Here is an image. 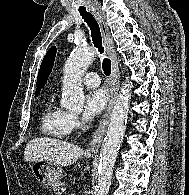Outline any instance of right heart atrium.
<instances>
[{
    "label": "right heart atrium",
    "mask_w": 189,
    "mask_h": 195,
    "mask_svg": "<svg viewBox=\"0 0 189 195\" xmlns=\"http://www.w3.org/2000/svg\"><path fill=\"white\" fill-rule=\"evenodd\" d=\"M80 125L79 117L76 114L70 113L68 117V129L69 131L78 128Z\"/></svg>",
    "instance_id": "d8ad5b80"
}]
</instances>
